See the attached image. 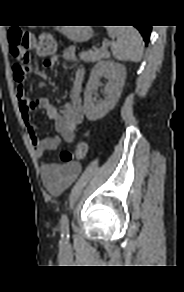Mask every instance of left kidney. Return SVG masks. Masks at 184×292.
Instances as JSON below:
<instances>
[{
	"label": "left kidney",
	"mask_w": 184,
	"mask_h": 292,
	"mask_svg": "<svg viewBox=\"0 0 184 292\" xmlns=\"http://www.w3.org/2000/svg\"><path fill=\"white\" fill-rule=\"evenodd\" d=\"M109 82L105 88L106 97L95 103L92 96L98 90L100 78ZM126 69L111 60L100 61L92 69L84 92V113L89 121L103 118L117 103L125 83Z\"/></svg>",
	"instance_id": "left-kidney-1"
}]
</instances>
